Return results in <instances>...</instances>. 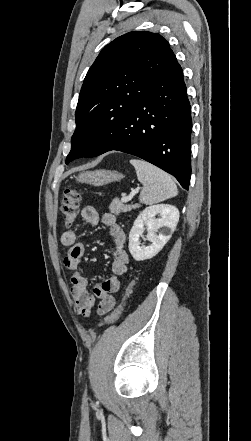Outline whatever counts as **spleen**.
Segmentation results:
<instances>
[{"instance_id":"1","label":"spleen","mask_w":251,"mask_h":441,"mask_svg":"<svg viewBox=\"0 0 251 441\" xmlns=\"http://www.w3.org/2000/svg\"><path fill=\"white\" fill-rule=\"evenodd\" d=\"M130 163L135 167L138 181L143 185L140 203L152 205L178 194L173 179L163 170L140 159H131Z\"/></svg>"}]
</instances>
